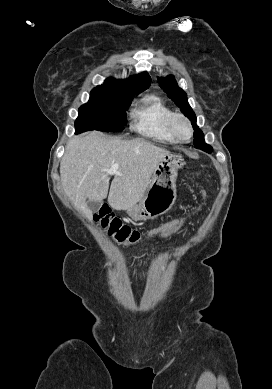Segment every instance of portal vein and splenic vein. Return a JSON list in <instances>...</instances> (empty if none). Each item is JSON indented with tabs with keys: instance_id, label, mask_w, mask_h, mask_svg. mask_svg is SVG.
<instances>
[{
	"instance_id": "18ae733b",
	"label": "portal vein and splenic vein",
	"mask_w": 272,
	"mask_h": 389,
	"mask_svg": "<svg viewBox=\"0 0 272 389\" xmlns=\"http://www.w3.org/2000/svg\"><path fill=\"white\" fill-rule=\"evenodd\" d=\"M119 165L118 164H114L110 169L107 170V172L109 174H117V175H120L119 171Z\"/></svg>"
}]
</instances>
